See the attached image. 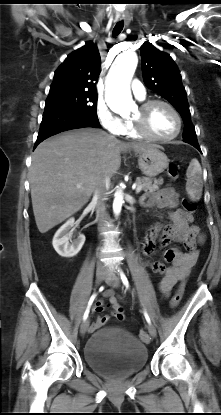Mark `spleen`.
Instances as JSON below:
<instances>
[{
    "instance_id": "obj_1",
    "label": "spleen",
    "mask_w": 221,
    "mask_h": 415,
    "mask_svg": "<svg viewBox=\"0 0 221 415\" xmlns=\"http://www.w3.org/2000/svg\"><path fill=\"white\" fill-rule=\"evenodd\" d=\"M186 191L192 201L200 200L202 196V169L197 159H192L187 172Z\"/></svg>"
}]
</instances>
